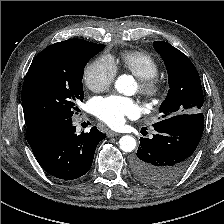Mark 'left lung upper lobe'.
Wrapping results in <instances>:
<instances>
[{"label":"left lung upper lobe","mask_w":224,"mask_h":224,"mask_svg":"<svg viewBox=\"0 0 224 224\" xmlns=\"http://www.w3.org/2000/svg\"><path fill=\"white\" fill-rule=\"evenodd\" d=\"M154 49L161 55L169 78V91L160 106L163 114L161 119L201 112L204 97L200 77L193 63L167 42L155 41Z\"/></svg>","instance_id":"left-lung-upper-lobe-1"}]
</instances>
